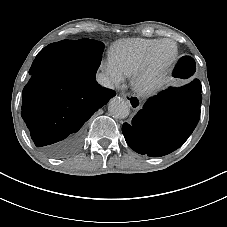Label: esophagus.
Listing matches in <instances>:
<instances>
[{"label":"esophagus","instance_id":"esophagus-1","mask_svg":"<svg viewBox=\"0 0 227 227\" xmlns=\"http://www.w3.org/2000/svg\"><path fill=\"white\" fill-rule=\"evenodd\" d=\"M121 96L123 98L126 99V101L128 102L129 106L133 109V110H139L141 107V101L139 98L134 97L132 95H128L126 93H121Z\"/></svg>","mask_w":227,"mask_h":227}]
</instances>
